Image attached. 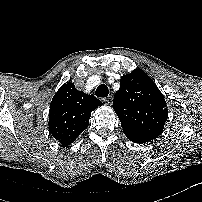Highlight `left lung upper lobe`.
I'll return each instance as SVG.
<instances>
[{
    "mask_svg": "<svg viewBox=\"0 0 202 202\" xmlns=\"http://www.w3.org/2000/svg\"><path fill=\"white\" fill-rule=\"evenodd\" d=\"M166 106L164 96L143 70L121 77L113 108L129 139L148 142L161 135L168 117Z\"/></svg>",
    "mask_w": 202,
    "mask_h": 202,
    "instance_id": "5c2ea615",
    "label": "left lung upper lobe"
}]
</instances>
